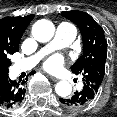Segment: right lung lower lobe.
Listing matches in <instances>:
<instances>
[{
    "mask_svg": "<svg viewBox=\"0 0 117 117\" xmlns=\"http://www.w3.org/2000/svg\"><path fill=\"white\" fill-rule=\"evenodd\" d=\"M24 82L11 81L7 76L0 82V106L6 109L18 107L25 95Z\"/></svg>",
    "mask_w": 117,
    "mask_h": 117,
    "instance_id": "98d812e1",
    "label": "right lung lower lobe"
}]
</instances>
